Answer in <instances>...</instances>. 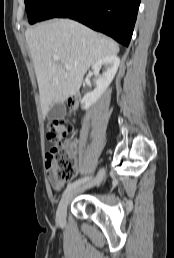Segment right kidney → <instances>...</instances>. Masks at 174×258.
Instances as JSON below:
<instances>
[{
    "instance_id": "1",
    "label": "right kidney",
    "mask_w": 174,
    "mask_h": 258,
    "mask_svg": "<svg viewBox=\"0 0 174 258\" xmlns=\"http://www.w3.org/2000/svg\"><path fill=\"white\" fill-rule=\"evenodd\" d=\"M120 64V59L116 55L107 56L99 61H97L93 66V73L98 76L100 69L103 67L105 71L102 76H98L96 79V89L91 93L86 94L82 100V109H88L93 105L101 95L107 90L108 86L115 77L118 67Z\"/></svg>"
}]
</instances>
